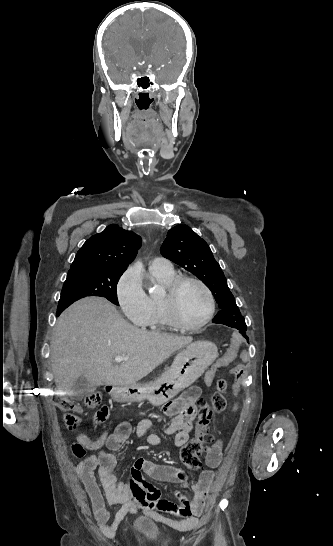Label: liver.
Returning a JSON list of instances; mask_svg holds the SVG:
<instances>
[{"instance_id":"1","label":"liver","mask_w":333,"mask_h":546,"mask_svg":"<svg viewBox=\"0 0 333 546\" xmlns=\"http://www.w3.org/2000/svg\"><path fill=\"white\" fill-rule=\"evenodd\" d=\"M192 337L140 330L104 298L88 297L58 318L51 359L59 390L70 391L80 376L93 386L132 385L152 372ZM128 356L114 364V356Z\"/></svg>"}]
</instances>
